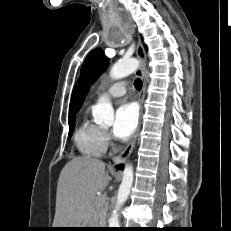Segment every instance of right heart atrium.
Segmentation results:
<instances>
[{
    "label": "right heart atrium",
    "instance_id": "d8ad5b80",
    "mask_svg": "<svg viewBox=\"0 0 231 231\" xmlns=\"http://www.w3.org/2000/svg\"><path fill=\"white\" fill-rule=\"evenodd\" d=\"M104 136H105L106 143H108V142H109V140H110V136H109V134H108V133H106V132H104Z\"/></svg>",
    "mask_w": 231,
    "mask_h": 231
}]
</instances>
